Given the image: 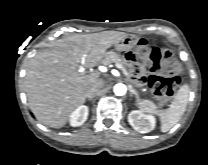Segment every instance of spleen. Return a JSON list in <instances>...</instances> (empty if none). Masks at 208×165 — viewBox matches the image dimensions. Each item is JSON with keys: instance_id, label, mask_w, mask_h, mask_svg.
Listing matches in <instances>:
<instances>
[{"instance_id": "obj_1", "label": "spleen", "mask_w": 208, "mask_h": 165, "mask_svg": "<svg viewBox=\"0 0 208 165\" xmlns=\"http://www.w3.org/2000/svg\"><path fill=\"white\" fill-rule=\"evenodd\" d=\"M190 88L187 84L180 87L169 108L158 110L149 100H141L138 106L141 112L153 113L159 116L161 122V132H167L174 127L183 116L188 104Z\"/></svg>"}]
</instances>
